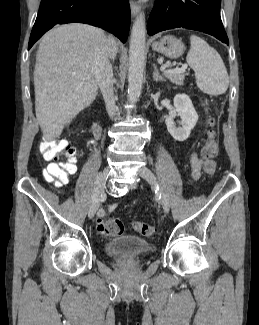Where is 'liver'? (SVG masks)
Here are the masks:
<instances>
[{"mask_svg":"<svg viewBox=\"0 0 259 325\" xmlns=\"http://www.w3.org/2000/svg\"><path fill=\"white\" fill-rule=\"evenodd\" d=\"M105 39L96 27L71 23L46 33L39 45L34 69L35 112L47 141L58 138L64 127L97 96L92 73L97 49ZM114 59L118 43L107 38Z\"/></svg>","mask_w":259,"mask_h":325,"instance_id":"obj_1","label":"liver"}]
</instances>
